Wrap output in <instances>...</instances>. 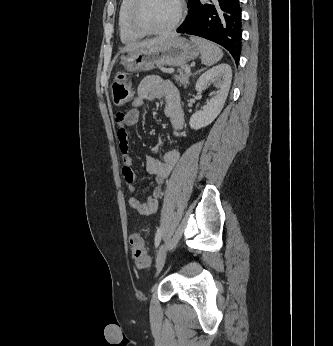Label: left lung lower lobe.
I'll return each instance as SVG.
<instances>
[{"label": "left lung lower lobe", "mask_w": 333, "mask_h": 346, "mask_svg": "<svg viewBox=\"0 0 333 346\" xmlns=\"http://www.w3.org/2000/svg\"><path fill=\"white\" fill-rule=\"evenodd\" d=\"M189 12L177 30L196 35L226 48L238 63L241 53L242 20L239 0H188Z\"/></svg>", "instance_id": "1"}]
</instances>
